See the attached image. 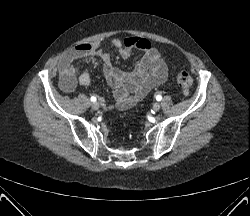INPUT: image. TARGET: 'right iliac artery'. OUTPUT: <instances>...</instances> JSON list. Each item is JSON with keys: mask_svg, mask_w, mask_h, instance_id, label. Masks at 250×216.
<instances>
[{"mask_svg": "<svg viewBox=\"0 0 250 216\" xmlns=\"http://www.w3.org/2000/svg\"><path fill=\"white\" fill-rule=\"evenodd\" d=\"M90 99H91L92 102L96 101V97H94V96H92Z\"/></svg>", "mask_w": 250, "mask_h": 216, "instance_id": "right-iliac-artery-1", "label": "right iliac artery"}]
</instances>
